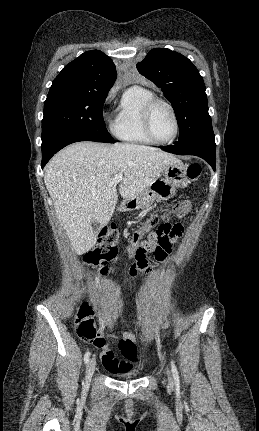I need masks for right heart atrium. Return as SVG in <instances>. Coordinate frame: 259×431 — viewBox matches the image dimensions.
I'll use <instances>...</instances> for the list:
<instances>
[{"mask_svg": "<svg viewBox=\"0 0 259 431\" xmlns=\"http://www.w3.org/2000/svg\"><path fill=\"white\" fill-rule=\"evenodd\" d=\"M116 91H117V89L114 87V88H112V89L108 92V94H107V96H106V99H105V104H106V105H108V104L113 100V98H114V96H115V94H116Z\"/></svg>", "mask_w": 259, "mask_h": 431, "instance_id": "obj_1", "label": "right heart atrium"}]
</instances>
